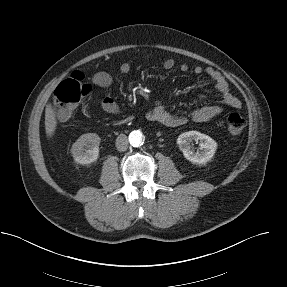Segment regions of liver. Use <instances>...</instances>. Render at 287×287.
Listing matches in <instances>:
<instances>
[{"label":"liver","mask_w":287,"mask_h":287,"mask_svg":"<svg viewBox=\"0 0 287 287\" xmlns=\"http://www.w3.org/2000/svg\"><path fill=\"white\" fill-rule=\"evenodd\" d=\"M57 127L56 112L51 104H47L45 108V131L48 138H51Z\"/></svg>","instance_id":"liver-1"}]
</instances>
